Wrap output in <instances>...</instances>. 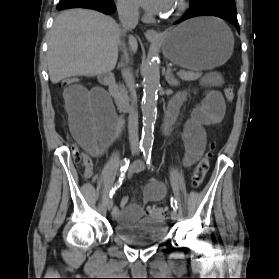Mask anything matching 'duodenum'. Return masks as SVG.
Listing matches in <instances>:
<instances>
[{
    "label": "duodenum",
    "mask_w": 279,
    "mask_h": 279,
    "mask_svg": "<svg viewBox=\"0 0 279 279\" xmlns=\"http://www.w3.org/2000/svg\"><path fill=\"white\" fill-rule=\"evenodd\" d=\"M101 79L108 86V92H109L110 96L113 98L116 106L120 110L130 111L131 110V105L125 98H123L119 95L115 79L109 74L102 75Z\"/></svg>",
    "instance_id": "duodenum-1"
}]
</instances>
